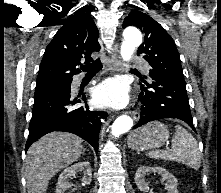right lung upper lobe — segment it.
Here are the masks:
<instances>
[{"label": "right lung upper lobe", "instance_id": "1", "mask_svg": "<svg viewBox=\"0 0 221 193\" xmlns=\"http://www.w3.org/2000/svg\"><path fill=\"white\" fill-rule=\"evenodd\" d=\"M98 29L86 13H76L57 31L47 46L36 81V87L72 82L81 71L82 59L92 61L91 53L100 50Z\"/></svg>", "mask_w": 221, "mask_h": 193}]
</instances>
